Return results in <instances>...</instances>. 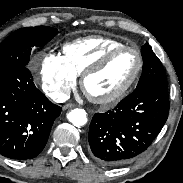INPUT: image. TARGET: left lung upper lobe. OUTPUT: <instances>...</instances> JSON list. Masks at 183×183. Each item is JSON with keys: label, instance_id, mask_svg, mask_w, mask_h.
<instances>
[{"label": "left lung upper lobe", "instance_id": "5c2ea615", "mask_svg": "<svg viewBox=\"0 0 183 183\" xmlns=\"http://www.w3.org/2000/svg\"><path fill=\"white\" fill-rule=\"evenodd\" d=\"M141 54L143 57V75L136 89L146 86L167 87L166 75L162 63L148 43L142 47Z\"/></svg>", "mask_w": 183, "mask_h": 183}]
</instances>
